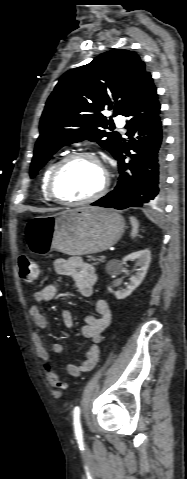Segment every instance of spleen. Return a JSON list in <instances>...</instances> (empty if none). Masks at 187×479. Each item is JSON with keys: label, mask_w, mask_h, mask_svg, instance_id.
<instances>
[{"label": "spleen", "mask_w": 187, "mask_h": 479, "mask_svg": "<svg viewBox=\"0 0 187 479\" xmlns=\"http://www.w3.org/2000/svg\"><path fill=\"white\" fill-rule=\"evenodd\" d=\"M130 223L132 226L131 237H136L139 228V221L135 217H130Z\"/></svg>", "instance_id": "1"}]
</instances>
